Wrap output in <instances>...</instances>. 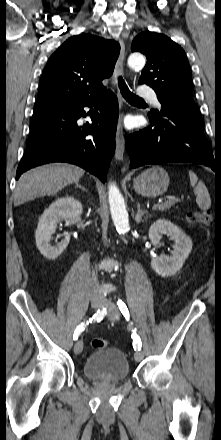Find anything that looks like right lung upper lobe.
I'll list each match as a JSON object with an SVG mask.
<instances>
[{"instance_id":"obj_1","label":"right lung upper lobe","mask_w":221,"mask_h":440,"mask_svg":"<svg viewBox=\"0 0 221 440\" xmlns=\"http://www.w3.org/2000/svg\"><path fill=\"white\" fill-rule=\"evenodd\" d=\"M113 40L81 34L72 36L48 60L34 109L103 95L102 80L109 78L119 56Z\"/></svg>"}]
</instances>
